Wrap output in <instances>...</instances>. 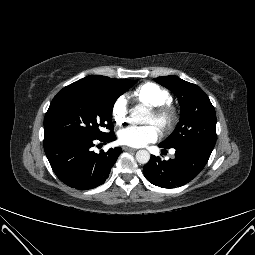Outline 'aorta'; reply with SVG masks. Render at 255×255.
Wrapping results in <instances>:
<instances>
[{"mask_svg": "<svg viewBox=\"0 0 255 255\" xmlns=\"http://www.w3.org/2000/svg\"><path fill=\"white\" fill-rule=\"evenodd\" d=\"M148 114V109L143 105H137L130 110L131 120L137 124L147 123ZM136 160L140 164H146L150 160V153L147 150H139L136 153Z\"/></svg>", "mask_w": 255, "mask_h": 255, "instance_id": "aorta-1", "label": "aorta"}]
</instances>
